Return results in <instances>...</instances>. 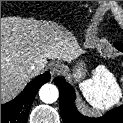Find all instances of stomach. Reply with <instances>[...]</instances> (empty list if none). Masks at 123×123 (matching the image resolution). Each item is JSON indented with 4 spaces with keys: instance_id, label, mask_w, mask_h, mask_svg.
Instances as JSON below:
<instances>
[{
    "instance_id": "stomach-1",
    "label": "stomach",
    "mask_w": 123,
    "mask_h": 123,
    "mask_svg": "<svg viewBox=\"0 0 123 123\" xmlns=\"http://www.w3.org/2000/svg\"><path fill=\"white\" fill-rule=\"evenodd\" d=\"M85 75V69L83 63L78 64L77 68L73 72V78L76 81H79Z\"/></svg>"
}]
</instances>
